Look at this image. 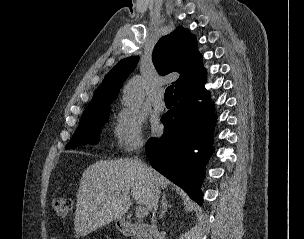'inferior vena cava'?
<instances>
[{
	"mask_svg": "<svg viewBox=\"0 0 304 239\" xmlns=\"http://www.w3.org/2000/svg\"><path fill=\"white\" fill-rule=\"evenodd\" d=\"M143 146V143L138 144V149ZM158 199H159V190L157 188H153L152 200H151V207L153 209V216H152V231L155 235L157 233V226H156V211L158 207Z\"/></svg>",
	"mask_w": 304,
	"mask_h": 239,
	"instance_id": "inferior-vena-cava-1",
	"label": "inferior vena cava"
}]
</instances>
